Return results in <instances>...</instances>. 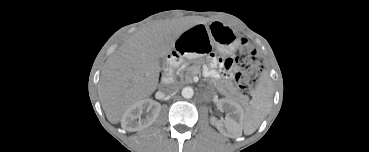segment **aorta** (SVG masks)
Returning a JSON list of instances; mask_svg holds the SVG:
<instances>
[{"label":"aorta","instance_id":"obj_1","mask_svg":"<svg viewBox=\"0 0 369 152\" xmlns=\"http://www.w3.org/2000/svg\"><path fill=\"white\" fill-rule=\"evenodd\" d=\"M181 94H182V96H183L184 98H186V99H190V98H192V97H193V95H194V90H193V88H192V87L187 86V87H184V88L182 89Z\"/></svg>","mask_w":369,"mask_h":152}]
</instances>
